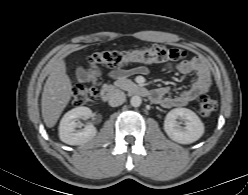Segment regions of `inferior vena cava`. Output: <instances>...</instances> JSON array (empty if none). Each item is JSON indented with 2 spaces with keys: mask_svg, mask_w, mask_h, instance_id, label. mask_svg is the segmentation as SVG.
Masks as SVG:
<instances>
[{
  "mask_svg": "<svg viewBox=\"0 0 248 195\" xmlns=\"http://www.w3.org/2000/svg\"><path fill=\"white\" fill-rule=\"evenodd\" d=\"M126 100V96L125 93L120 91V90H116L115 92L112 93V95L109 98V105L112 107H117L119 105H122Z\"/></svg>",
  "mask_w": 248,
  "mask_h": 195,
  "instance_id": "obj_1",
  "label": "inferior vena cava"
}]
</instances>
